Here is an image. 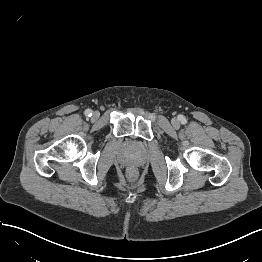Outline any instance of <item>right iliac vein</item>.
<instances>
[{
	"label": "right iliac vein",
	"mask_w": 262,
	"mask_h": 262,
	"mask_svg": "<svg viewBox=\"0 0 262 262\" xmlns=\"http://www.w3.org/2000/svg\"><path fill=\"white\" fill-rule=\"evenodd\" d=\"M100 116L99 112H94L93 113V119H98Z\"/></svg>",
	"instance_id": "63e3f726"
}]
</instances>
